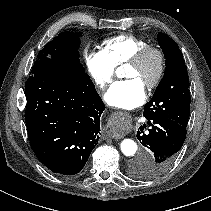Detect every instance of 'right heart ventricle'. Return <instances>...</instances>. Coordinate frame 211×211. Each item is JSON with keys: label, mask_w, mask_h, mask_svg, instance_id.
I'll return each instance as SVG.
<instances>
[{"label": "right heart ventricle", "mask_w": 211, "mask_h": 211, "mask_svg": "<svg viewBox=\"0 0 211 211\" xmlns=\"http://www.w3.org/2000/svg\"><path fill=\"white\" fill-rule=\"evenodd\" d=\"M147 42L137 36L122 34L103 41L104 52L115 66L126 63L129 58Z\"/></svg>", "instance_id": "1"}]
</instances>
